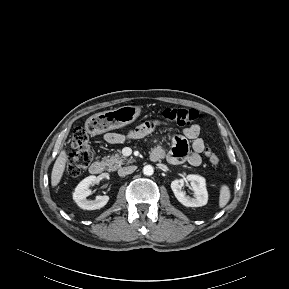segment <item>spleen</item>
<instances>
[{
    "mask_svg": "<svg viewBox=\"0 0 289 289\" xmlns=\"http://www.w3.org/2000/svg\"><path fill=\"white\" fill-rule=\"evenodd\" d=\"M230 189L227 185L223 184L220 187V194H219V207L223 208L227 205L230 200Z\"/></svg>",
    "mask_w": 289,
    "mask_h": 289,
    "instance_id": "1",
    "label": "spleen"
}]
</instances>
